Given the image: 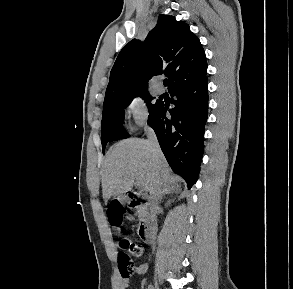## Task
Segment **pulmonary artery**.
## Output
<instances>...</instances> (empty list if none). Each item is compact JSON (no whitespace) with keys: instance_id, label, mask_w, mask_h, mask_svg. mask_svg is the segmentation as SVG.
Here are the masks:
<instances>
[{"instance_id":"obj_1","label":"pulmonary artery","mask_w":293,"mask_h":289,"mask_svg":"<svg viewBox=\"0 0 293 289\" xmlns=\"http://www.w3.org/2000/svg\"><path fill=\"white\" fill-rule=\"evenodd\" d=\"M155 91L157 94H162L164 92L163 86L160 82L155 83Z\"/></svg>"}]
</instances>
